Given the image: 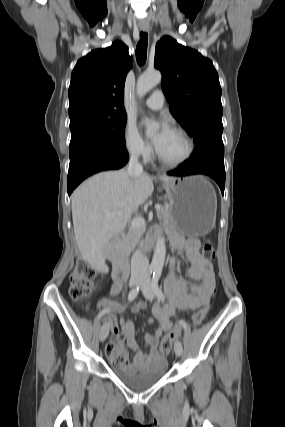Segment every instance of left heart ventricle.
Instances as JSON below:
<instances>
[{
  "instance_id": "b2bd125f",
  "label": "left heart ventricle",
  "mask_w": 285,
  "mask_h": 427,
  "mask_svg": "<svg viewBox=\"0 0 285 427\" xmlns=\"http://www.w3.org/2000/svg\"><path fill=\"white\" fill-rule=\"evenodd\" d=\"M186 149L187 144L183 137L176 132L169 131L156 150L163 159L175 161L185 154Z\"/></svg>"
}]
</instances>
